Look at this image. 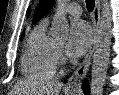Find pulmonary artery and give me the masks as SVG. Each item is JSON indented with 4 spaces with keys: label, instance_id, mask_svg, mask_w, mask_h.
<instances>
[{
    "label": "pulmonary artery",
    "instance_id": "obj_1",
    "mask_svg": "<svg viewBox=\"0 0 119 95\" xmlns=\"http://www.w3.org/2000/svg\"><path fill=\"white\" fill-rule=\"evenodd\" d=\"M65 12L72 16H80L82 13V9L77 3H70L65 7Z\"/></svg>",
    "mask_w": 119,
    "mask_h": 95
}]
</instances>
